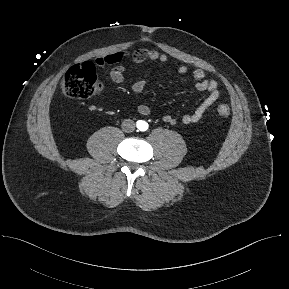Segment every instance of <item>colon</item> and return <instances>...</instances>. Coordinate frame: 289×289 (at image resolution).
<instances>
[{
	"mask_svg": "<svg viewBox=\"0 0 289 289\" xmlns=\"http://www.w3.org/2000/svg\"><path fill=\"white\" fill-rule=\"evenodd\" d=\"M61 91L69 98L86 99L102 90V83L96 72V66L85 62L72 67L61 81ZM217 112L222 117L230 115V107L225 103L217 106Z\"/></svg>",
	"mask_w": 289,
	"mask_h": 289,
	"instance_id": "obj_1",
	"label": "colon"
}]
</instances>
